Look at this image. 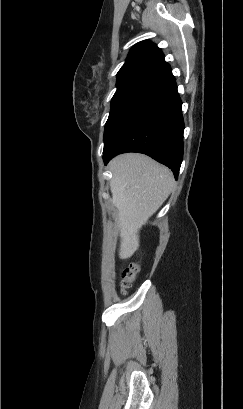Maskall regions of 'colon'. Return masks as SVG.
I'll return each mask as SVG.
<instances>
[{
  "instance_id": "1",
  "label": "colon",
  "mask_w": 243,
  "mask_h": 409,
  "mask_svg": "<svg viewBox=\"0 0 243 409\" xmlns=\"http://www.w3.org/2000/svg\"><path fill=\"white\" fill-rule=\"evenodd\" d=\"M140 270V264L137 261L130 262L122 271L120 287L123 294L130 288Z\"/></svg>"
}]
</instances>
